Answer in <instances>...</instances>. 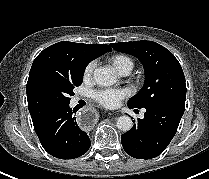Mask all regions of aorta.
I'll return each mask as SVG.
<instances>
[{
    "label": "aorta",
    "mask_w": 209,
    "mask_h": 179,
    "mask_svg": "<svg viewBox=\"0 0 209 179\" xmlns=\"http://www.w3.org/2000/svg\"><path fill=\"white\" fill-rule=\"evenodd\" d=\"M93 78L99 86H111L117 79L116 75L110 69L105 67L96 69L93 73ZM116 124L118 129L123 132L129 131L133 126L131 118L127 115L120 116L117 119Z\"/></svg>",
    "instance_id": "obj_1"
}]
</instances>
